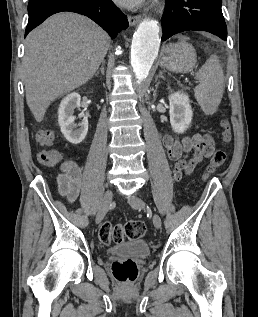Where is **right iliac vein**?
I'll use <instances>...</instances> for the list:
<instances>
[{
  "label": "right iliac vein",
  "instance_id": "63e3f726",
  "mask_svg": "<svg viewBox=\"0 0 258 317\" xmlns=\"http://www.w3.org/2000/svg\"><path fill=\"white\" fill-rule=\"evenodd\" d=\"M113 200V193L111 192V189H108L100 202V205L98 207V210L95 213L96 216V221L98 222H103L104 221V216L107 215L108 210L111 207V203Z\"/></svg>",
  "mask_w": 258,
  "mask_h": 317
}]
</instances>
